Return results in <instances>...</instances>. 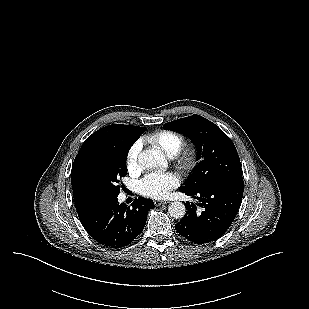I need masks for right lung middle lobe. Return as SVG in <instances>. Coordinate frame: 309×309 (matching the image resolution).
Masks as SVG:
<instances>
[{
	"mask_svg": "<svg viewBox=\"0 0 309 309\" xmlns=\"http://www.w3.org/2000/svg\"><path fill=\"white\" fill-rule=\"evenodd\" d=\"M146 128L122 132L98 146L87 164V179L96 199L117 197L120 193V178L127 174L126 158L132 144Z\"/></svg>",
	"mask_w": 309,
	"mask_h": 309,
	"instance_id": "right-lung-middle-lobe-1",
	"label": "right lung middle lobe"
}]
</instances>
